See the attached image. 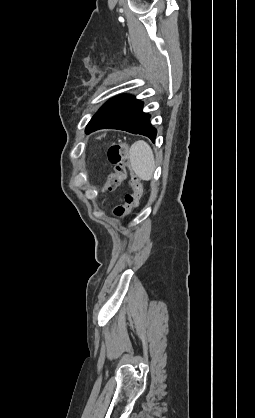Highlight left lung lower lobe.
I'll return each mask as SVG.
<instances>
[{"instance_id": "left-lung-lower-lobe-1", "label": "left lung lower lobe", "mask_w": 255, "mask_h": 418, "mask_svg": "<svg viewBox=\"0 0 255 418\" xmlns=\"http://www.w3.org/2000/svg\"><path fill=\"white\" fill-rule=\"evenodd\" d=\"M142 108L143 103L132 95L114 97L92 117L86 133L104 128L119 129L147 136L154 142L157 131L150 124V115Z\"/></svg>"}]
</instances>
